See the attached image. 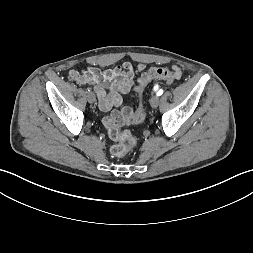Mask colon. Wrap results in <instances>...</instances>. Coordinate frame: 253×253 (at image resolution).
Returning a JSON list of instances; mask_svg holds the SVG:
<instances>
[{
    "mask_svg": "<svg viewBox=\"0 0 253 253\" xmlns=\"http://www.w3.org/2000/svg\"><path fill=\"white\" fill-rule=\"evenodd\" d=\"M179 76L180 72L176 68L153 67L141 76L135 89L136 93L138 96H141L147 84L153 80L173 83ZM145 117L146 114L143 107H139L137 110L125 107L103 119V125L107 130L109 138L116 142L111 148V153L114 157L125 155L136 144V139L132 133L127 130H122L121 126L125 124H141L145 120Z\"/></svg>",
    "mask_w": 253,
    "mask_h": 253,
    "instance_id": "colon-1",
    "label": "colon"
}]
</instances>
